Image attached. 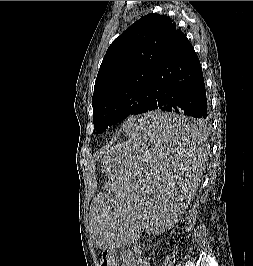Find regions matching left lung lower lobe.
<instances>
[{
  "instance_id": "1",
  "label": "left lung lower lobe",
  "mask_w": 253,
  "mask_h": 266,
  "mask_svg": "<svg viewBox=\"0 0 253 266\" xmlns=\"http://www.w3.org/2000/svg\"><path fill=\"white\" fill-rule=\"evenodd\" d=\"M152 110L193 118L192 121L153 126L152 129L159 134L181 139L197 138L208 126L201 64L194 48L178 28L161 54L153 75L145 112Z\"/></svg>"
}]
</instances>
